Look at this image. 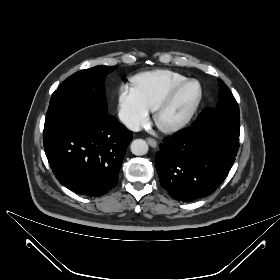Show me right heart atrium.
<instances>
[{"instance_id": "obj_1", "label": "right heart atrium", "mask_w": 280, "mask_h": 280, "mask_svg": "<svg viewBox=\"0 0 280 280\" xmlns=\"http://www.w3.org/2000/svg\"><path fill=\"white\" fill-rule=\"evenodd\" d=\"M119 117L132 130L145 125L149 118V109L143 104L132 86L122 84L118 93Z\"/></svg>"}]
</instances>
